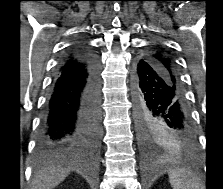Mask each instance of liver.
<instances>
[{
    "instance_id": "obj_1",
    "label": "liver",
    "mask_w": 223,
    "mask_h": 189,
    "mask_svg": "<svg viewBox=\"0 0 223 189\" xmlns=\"http://www.w3.org/2000/svg\"><path fill=\"white\" fill-rule=\"evenodd\" d=\"M69 174L68 169L57 168L36 174L31 189H52L61 183Z\"/></svg>"
}]
</instances>
